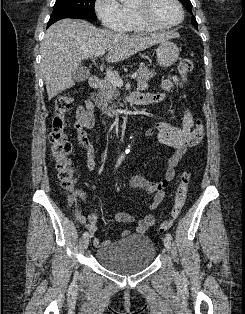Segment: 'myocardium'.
<instances>
[{"mask_svg":"<svg viewBox=\"0 0 245 314\" xmlns=\"http://www.w3.org/2000/svg\"><path fill=\"white\" fill-rule=\"evenodd\" d=\"M177 6L180 9L181 12V19L177 23L167 24L162 23L157 20H155L151 16V6L153 3V0H138L139 4L133 6L134 13L139 21H141L144 24L150 25L152 27H155L157 29H168V28H174L178 25H180L184 19H185V10L180 0H174Z\"/></svg>","mask_w":245,"mask_h":314,"instance_id":"obj_1","label":"myocardium"}]
</instances>
